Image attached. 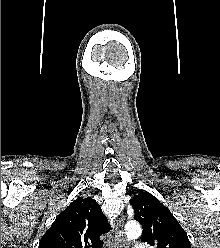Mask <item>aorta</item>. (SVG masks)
Wrapping results in <instances>:
<instances>
[{
  "mask_svg": "<svg viewBox=\"0 0 220 248\" xmlns=\"http://www.w3.org/2000/svg\"><path fill=\"white\" fill-rule=\"evenodd\" d=\"M142 233V229L139 223L136 221H129L125 225V234L128 241L137 239Z\"/></svg>",
  "mask_w": 220,
  "mask_h": 248,
  "instance_id": "aorta-1",
  "label": "aorta"
}]
</instances>
